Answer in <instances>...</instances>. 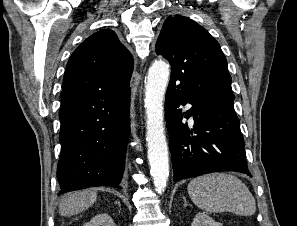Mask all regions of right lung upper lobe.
Returning a JSON list of instances; mask_svg holds the SVG:
<instances>
[{
  "instance_id": "cb5924a9",
  "label": "right lung upper lobe",
  "mask_w": 297,
  "mask_h": 226,
  "mask_svg": "<svg viewBox=\"0 0 297 226\" xmlns=\"http://www.w3.org/2000/svg\"><path fill=\"white\" fill-rule=\"evenodd\" d=\"M133 58L112 30L88 37L71 55L62 100L94 91H121L129 87Z\"/></svg>"
}]
</instances>
